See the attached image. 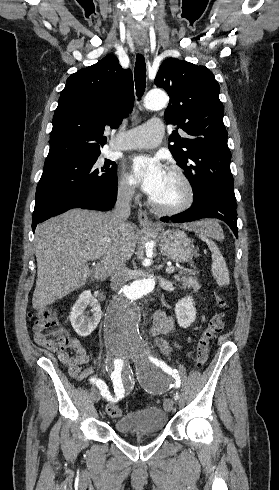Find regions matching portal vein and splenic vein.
I'll use <instances>...</instances> for the list:
<instances>
[{
	"mask_svg": "<svg viewBox=\"0 0 279 490\" xmlns=\"http://www.w3.org/2000/svg\"><path fill=\"white\" fill-rule=\"evenodd\" d=\"M175 268H173V266H168V268H166V272H168V274H172V272H174Z\"/></svg>",
	"mask_w": 279,
	"mask_h": 490,
	"instance_id": "18ae733b",
	"label": "portal vein and splenic vein"
}]
</instances>
